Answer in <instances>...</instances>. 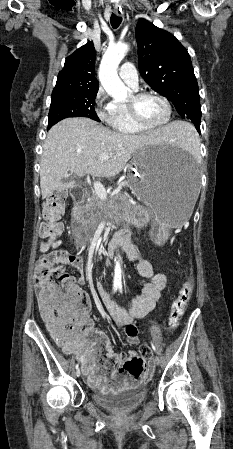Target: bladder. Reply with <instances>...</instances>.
<instances>
[{
    "mask_svg": "<svg viewBox=\"0 0 233 449\" xmlns=\"http://www.w3.org/2000/svg\"><path fill=\"white\" fill-rule=\"evenodd\" d=\"M99 407L114 413H125L138 408L147 397V391L139 389H123L120 392L101 393L96 391L92 395Z\"/></svg>",
    "mask_w": 233,
    "mask_h": 449,
    "instance_id": "bladder-1",
    "label": "bladder"
}]
</instances>
